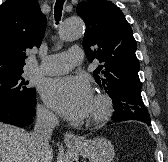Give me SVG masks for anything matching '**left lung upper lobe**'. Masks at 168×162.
<instances>
[{
  "label": "left lung upper lobe",
  "instance_id": "obj_1",
  "mask_svg": "<svg viewBox=\"0 0 168 162\" xmlns=\"http://www.w3.org/2000/svg\"><path fill=\"white\" fill-rule=\"evenodd\" d=\"M76 11L86 24L83 47L87 58L101 63L94 70L97 84L112 99L140 94L137 44L122 11L107 0H85Z\"/></svg>",
  "mask_w": 168,
  "mask_h": 162
}]
</instances>
